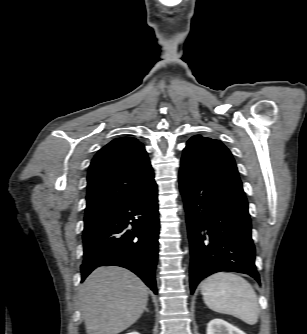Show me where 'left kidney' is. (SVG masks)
I'll use <instances>...</instances> for the list:
<instances>
[{
	"instance_id": "5707ae66",
	"label": "left kidney",
	"mask_w": 307,
	"mask_h": 334,
	"mask_svg": "<svg viewBox=\"0 0 307 334\" xmlns=\"http://www.w3.org/2000/svg\"><path fill=\"white\" fill-rule=\"evenodd\" d=\"M207 334H245L222 319H213L207 325Z\"/></svg>"
}]
</instances>
